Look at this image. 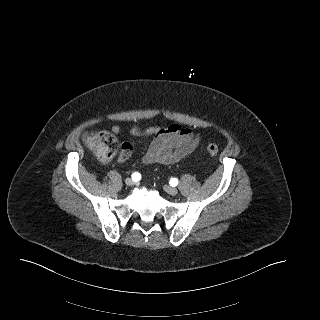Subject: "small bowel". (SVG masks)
Returning <instances> with one entry per match:
<instances>
[{
	"mask_svg": "<svg viewBox=\"0 0 320 320\" xmlns=\"http://www.w3.org/2000/svg\"><path fill=\"white\" fill-rule=\"evenodd\" d=\"M112 132L119 134L121 129L119 126H113ZM130 133L135 137L154 136L142 158L145 165L175 164L190 155L200 142L199 135L179 125H170L165 128L150 126L145 129L134 125L130 129ZM131 153V145L124 142L120 159H128Z\"/></svg>",
	"mask_w": 320,
	"mask_h": 320,
	"instance_id": "small-bowel-1",
	"label": "small bowel"
}]
</instances>
